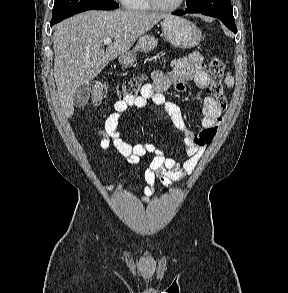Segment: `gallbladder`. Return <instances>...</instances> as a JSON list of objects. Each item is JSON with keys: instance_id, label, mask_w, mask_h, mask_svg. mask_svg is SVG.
Returning <instances> with one entry per match:
<instances>
[{"instance_id": "obj_1", "label": "gallbladder", "mask_w": 288, "mask_h": 293, "mask_svg": "<svg viewBox=\"0 0 288 293\" xmlns=\"http://www.w3.org/2000/svg\"><path fill=\"white\" fill-rule=\"evenodd\" d=\"M90 98L89 83H84L76 90L73 97V104L77 108L84 107Z\"/></svg>"}]
</instances>
